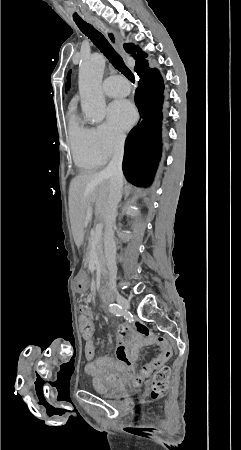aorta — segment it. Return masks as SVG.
<instances>
[{"label":"aorta","mask_w":241,"mask_h":450,"mask_svg":"<svg viewBox=\"0 0 241 450\" xmlns=\"http://www.w3.org/2000/svg\"><path fill=\"white\" fill-rule=\"evenodd\" d=\"M105 60L100 54L85 58L79 67V91L85 118L90 123L101 122L106 114V103L101 91Z\"/></svg>","instance_id":"762f6f07"}]
</instances>
